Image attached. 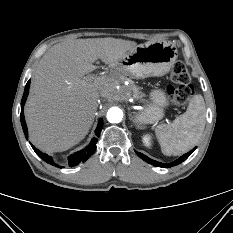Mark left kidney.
Returning a JSON list of instances; mask_svg holds the SVG:
<instances>
[{
	"mask_svg": "<svg viewBox=\"0 0 233 233\" xmlns=\"http://www.w3.org/2000/svg\"><path fill=\"white\" fill-rule=\"evenodd\" d=\"M143 144L147 147H150L152 144V137L149 134H146L142 138Z\"/></svg>",
	"mask_w": 233,
	"mask_h": 233,
	"instance_id": "left-kidney-1",
	"label": "left kidney"
}]
</instances>
